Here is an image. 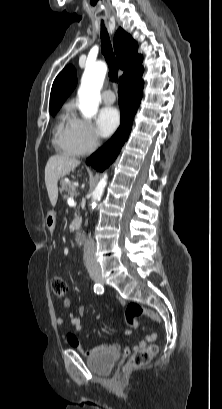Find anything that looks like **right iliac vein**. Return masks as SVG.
Returning a JSON list of instances; mask_svg holds the SVG:
<instances>
[{"instance_id": "1", "label": "right iliac vein", "mask_w": 222, "mask_h": 409, "mask_svg": "<svg viewBox=\"0 0 222 409\" xmlns=\"http://www.w3.org/2000/svg\"><path fill=\"white\" fill-rule=\"evenodd\" d=\"M93 280L98 283H104V279L100 274H95L92 276Z\"/></svg>"}]
</instances>
